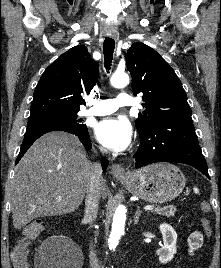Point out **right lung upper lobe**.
Listing matches in <instances>:
<instances>
[{"mask_svg": "<svg viewBox=\"0 0 221 268\" xmlns=\"http://www.w3.org/2000/svg\"><path fill=\"white\" fill-rule=\"evenodd\" d=\"M99 75V66L87 48L78 45L63 53L48 66L34 91L30 116L78 112L85 104Z\"/></svg>", "mask_w": 221, "mask_h": 268, "instance_id": "right-lung-upper-lobe-1", "label": "right lung upper lobe"}]
</instances>
